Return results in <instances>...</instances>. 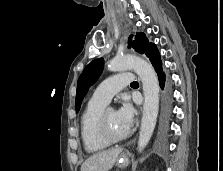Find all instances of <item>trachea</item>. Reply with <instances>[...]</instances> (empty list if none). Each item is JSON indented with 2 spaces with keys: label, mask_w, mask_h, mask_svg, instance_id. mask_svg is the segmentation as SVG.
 <instances>
[{
  "label": "trachea",
  "mask_w": 223,
  "mask_h": 171,
  "mask_svg": "<svg viewBox=\"0 0 223 171\" xmlns=\"http://www.w3.org/2000/svg\"><path fill=\"white\" fill-rule=\"evenodd\" d=\"M131 84H132V85H134V84H138V82H137V81H134V82H132Z\"/></svg>",
  "instance_id": "trachea-1"
}]
</instances>
